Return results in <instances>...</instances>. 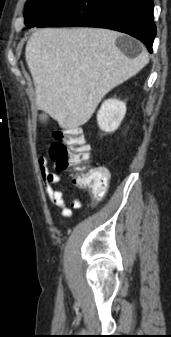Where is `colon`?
<instances>
[{
    "mask_svg": "<svg viewBox=\"0 0 171 337\" xmlns=\"http://www.w3.org/2000/svg\"><path fill=\"white\" fill-rule=\"evenodd\" d=\"M54 143L49 152L61 170L70 165L79 166V173L73 176V183L90 191L94 201L102 200L108 190L109 175L105 168L87 170L84 164L90 160V146L82 130L70 128L53 134Z\"/></svg>",
    "mask_w": 171,
    "mask_h": 337,
    "instance_id": "colon-1",
    "label": "colon"
}]
</instances>
